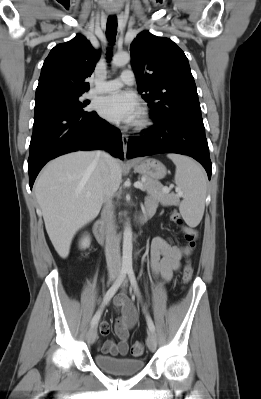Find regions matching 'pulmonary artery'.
Wrapping results in <instances>:
<instances>
[{
    "instance_id": "obj_1",
    "label": "pulmonary artery",
    "mask_w": 261,
    "mask_h": 399,
    "mask_svg": "<svg viewBox=\"0 0 261 399\" xmlns=\"http://www.w3.org/2000/svg\"><path fill=\"white\" fill-rule=\"evenodd\" d=\"M134 82V73L131 70H124L119 78L105 81L95 82V86L90 90L89 94L109 93L118 90L123 85H130Z\"/></svg>"
}]
</instances>
